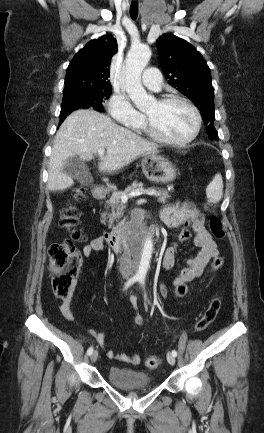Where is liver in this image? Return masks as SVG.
<instances>
[{
    "label": "liver",
    "mask_w": 264,
    "mask_h": 433,
    "mask_svg": "<svg viewBox=\"0 0 264 433\" xmlns=\"http://www.w3.org/2000/svg\"><path fill=\"white\" fill-rule=\"evenodd\" d=\"M158 147L117 125L107 115L92 109L74 111L56 133L49 161L48 188L60 191L74 184L73 178L63 172V165L71 156L90 161L99 149H106L98 168L113 173L139 156L155 155Z\"/></svg>",
    "instance_id": "obj_1"
}]
</instances>
